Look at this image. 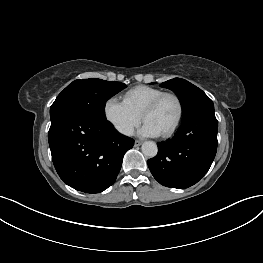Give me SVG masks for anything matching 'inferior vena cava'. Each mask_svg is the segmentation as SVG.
Listing matches in <instances>:
<instances>
[{
	"label": "inferior vena cava",
	"mask_w": 263,
	"mask_h": 263,
	"mask_svg": "<svg viewBox=\"0 0 263 263\" xmlns=\"http://www.w3.org/2000/svg\"><path fill=\"white\" fill-rule=\"evenodd\" d=\"M126 134H127V135H132V134H133V129H132V128L128 129L127 132H126Z\"/></svg>",
	"instance_id": "inferior-vena-cava-1"
}]
</instances>
